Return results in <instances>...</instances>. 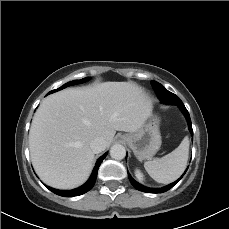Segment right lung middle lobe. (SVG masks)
<instances>
[{
	"label": "right lung middle lobe",
	"instance_id": "1",
	"mask_svg": "<svg viewBox=\"0 0 229 229\" xmlns=\"http://www.w3.org/2000/svg\"><path fill=\"white\" fill-rule=\"evenodd\" d=\"M88 78H84V79H81V80H74V81H71V82H68L66 84H64L63 86H61L60 88L56 89V90H52L51 92H49L48 94L50 93H53V92H56V91H59L65 87H68L70 85H74V84H78V83H82L84 81H86Z\"/></svg>",
	"mask_w": 229,
	"mask_h": 229
}]
</instances>
